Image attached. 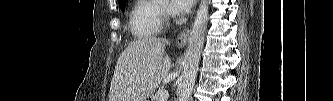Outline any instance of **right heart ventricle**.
<instances>
[{
    "label": "right heart ventricle",
    "mask_w": 333,
    "mask_h": 101,
    "mask_svg": "<svg viewBox=\"0 0 333 101\" xmlns=\"http://www.w3.org/2000/svg\"><path fill=\"white\" fill-rule=\"evenodd\" d=\"M129 28L133 36L140 40L158 35L162 28L160 2L138 0L129 16Z\"/></svg>",
    "instance_id": "1"
}]
</instances>
